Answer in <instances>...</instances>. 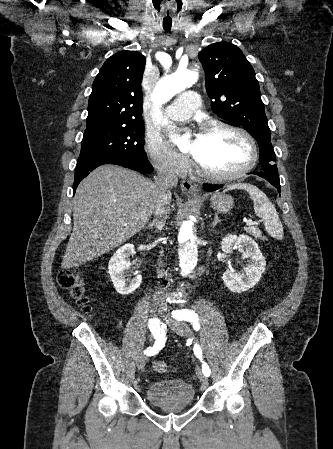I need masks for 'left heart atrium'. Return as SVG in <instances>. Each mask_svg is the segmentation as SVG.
<instances>
[{
	"label": "left heart atrium",
	"mask_w": 333,
	"mask_h": 449,
	"mask_svg": "<svg viewBox=\"0 0 333 449\" xmlns=\"http://www.w3.org/2000/svg\"><path fill=\"white\" fill-rule=\"evenodd\" d=\"M199 138H200V134H196L195 135V141H198Z\"/></svg>",
	"instance_id": "1"
}]
</instances>
